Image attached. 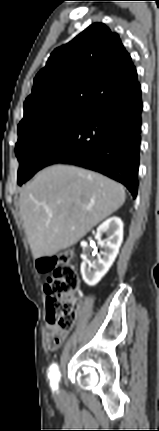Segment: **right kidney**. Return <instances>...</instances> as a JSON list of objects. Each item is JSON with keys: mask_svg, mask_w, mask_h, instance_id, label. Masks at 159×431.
I'll return each mask as SVG.
<instances>
[{"mask_svg": "<svg viewBox=\"0 0 159 431\" xmlns=\"http://www.w3.org/2000/svg\"><path fill=\"white\" fill-rule=\"evenodd\" d=\"M104 234L107 238L102 241L101 237ZM95 238L104 249L101 253L102 257H98L94 264H90L87 260H84L81 264L82 278L89 286H95L115 261L123 241L122 220L115 216L109 218L97 228Z\"/></svg>", "mask_w": 159, "mask_h": 431, "instance_id": "ca27d5eb", "label": "right kidney"}]
</instances>
